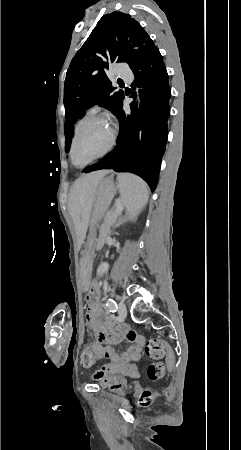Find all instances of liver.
<instances>
[{"label":"liver","instance_id":"obj_1","mask_svg":"<svg viewBox=\"0 0 241 450\" xmlns=\"http://www.w3.org/2000/svg\"><path fill=\"white\" fill-rule=\"evenodd\" d=\"M111 170H99L80 176L72 186L69 198V210L83 234L88 226L89 216L97 192L98 184Z\"/></svg>","mask_w":241,"mask_h":450}]
</instances>
